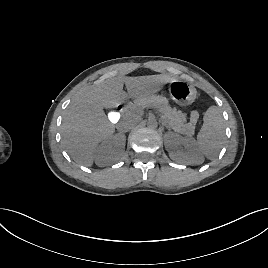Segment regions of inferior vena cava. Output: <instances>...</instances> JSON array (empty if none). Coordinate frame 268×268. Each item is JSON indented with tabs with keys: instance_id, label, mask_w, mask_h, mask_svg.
<instances>
[{
	"instance_id": "1",
	"label": "inferior vena cava",
	"mask_w": 268,
	"mask_h": 268,
	"mask_svg": "<svg viewBox=\"0 0 268 268\" xmlns=\"http://www.w3.org/2000/svg\"><path fill=\"white\" fill-rule=\"evenodd\" d=\"M137 123V118L133 116L125 117L118 125L117 128L119 131L128 132L131 130L134 125Z\"/></svg>"
}]
</instances>
